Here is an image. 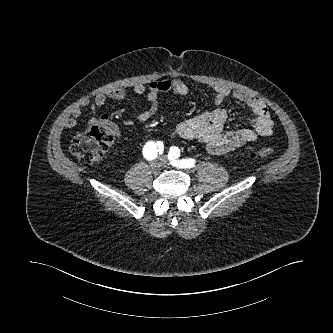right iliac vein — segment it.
<instances>
[{
  "instance_id": "obj_1",
  "label": "right iliac vein",
  "mask_w": 333,
  "mask_h": 333,
  "mask_svg": "<svg viewBox=\"0 0 333 333\" xmlns=\"http://www.w3.org/2000/svg\"><path fill=\"white\" fill-rule=\"evenodd\" d=\"M151 168L154 173H158L162 168V163L159 160H156L151 163Z\"/></svg>"
}]
</instances>
